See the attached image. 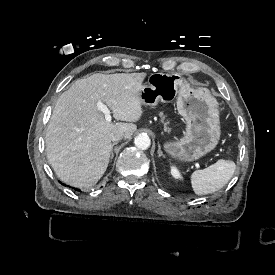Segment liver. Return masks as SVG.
Wrapping results in <instances>:
<instances>
[{"label":"liver","mask_w":275,"mask_h":275,"mask_svg":"<svg viewBox=\"0 0 275 275\" xmlns=\"http://www.w3.org/2000/svg\"><path fill=\"white\" fill-rule=\"evenodd\" d=\"M147 74H94L77 80L57 100L46 133L47 159L67 184L87 188L105 174L110 161L112 134L129 139L133 123L144 115L140 91ZM105 104L116 120L105 119L98 104Z\"/></svg>","instance_id":"liver-1"}]
</instances>
